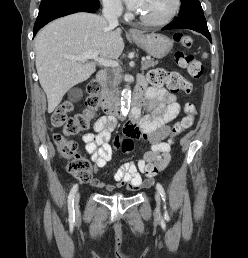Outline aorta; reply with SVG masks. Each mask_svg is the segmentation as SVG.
Segmentation results:
<instances>
[{"label":"aorta","instance_id":"obj_1","mask_svg":"<svg viewBox=\"0 0 248 258\" xmlns=\"http://www.w3.org/2000/svg\"><path fill=\"white\" fill-rule=\"evenodd\" d=\"M131 104V89L129 86L125 87L121 93V112L126 116L130 110Z\"/></svg>","mask_w":248,"mask_h":258}]
</instances>
